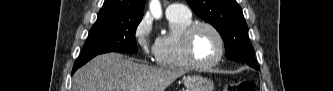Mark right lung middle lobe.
Masks as SVG:
<instances>
[{"instance_id": "right-lung-middle-lobe-1", "label": "right lung middle lobe", "mask_w": 333, "mask_h": 91, "mask_svg": "<svg viewBox=\"0 0 333 91\" xmlns=\"http://www.w3.org/2000/svg\"><path fill=\"white\" fill-rule=\"evenodd\" d=\"M141 20L142 16L97 18L81 56L107 52L137 53L135 32Z\"/></svg>"}]
</instances>
